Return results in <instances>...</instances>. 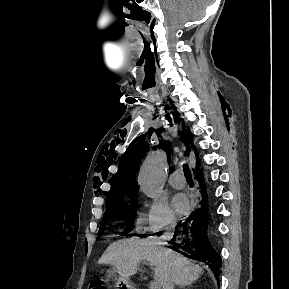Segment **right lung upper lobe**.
Instances as JSON below:
<instances>
[{"label":"right lung upper lobe","instance_id":"cb5924a9","mask_svg":"<svg viewBox=\"0 0 289 289\" xmlns=\"http://www.w3.org/2000/svg\"><path fill=\"white\" fill-rule=\"evenodd\" d=\"M180 120L181 119H179V121ZM183 130H185V127H183ZM179 134L187 148L186 152H188L190 150V145H192L191 133L189 130H185L184 133L179 132ZM148 149L147 143L144 144L143 142H139L128 148L122 155L118 172L113 179L114 184H112L111 189L107 194L106 204L129 199L137 195L138 187H136L135 184V173L141 158ZM198 170L199 161L197 160L196 171Z\"/></svg>","mask_w":289,"mask_h":289}]
</instances>
